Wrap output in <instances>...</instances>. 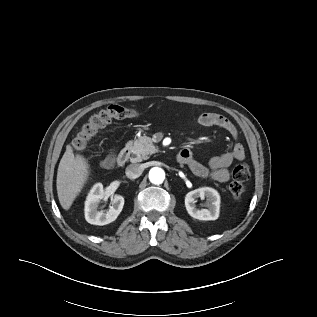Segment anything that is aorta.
I'll return each instance as SVG.
<instances>
[{"mask_svg": "<svg viewBox=\"0 0 317 317\" xmlns=\"http://www.w3.org/2000/svg\"><path fill=\"white\" fill-rule=\"evenodd\" d=\"M165 179V172L160 167H153L149 171V180L155 185L162 184Z\"/></svg>", "mask_w": 317, "mask_h": 317, "instance_id": "762f6f07", "label": "aorta"}]
</instances>
